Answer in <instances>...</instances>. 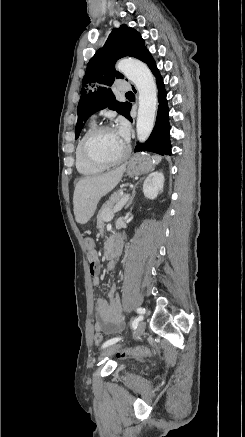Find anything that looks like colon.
<instances>
[{"mask_svg":"<svg viewBox=\"0 0 245 437\" xmlns=\"http://www.w3.org/2000/svg\"><path fill=\"white\" fill-rule=\"evenodd\" d=\"M86 247L88 250V258L90 260V269L93 270L96 262L95 243L93 239H86ZM94 342L99 346L103 342V335L100 332H96L94 335ZM155 350L147 347L136 346L128 347L118 352L121 357H139L154 354Z\"/></svg>","mask_w":245,"mask_h":437,"instance_id":"1","label":"colon"}]
</instances>
